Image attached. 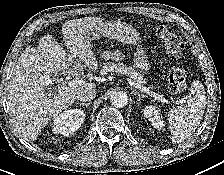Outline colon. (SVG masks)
<instances>
[{
  "mask_svg": "<svg viewBox=\"0 0 224 175\" xmlns=\"http://www.w3.org/2000/svg\"><path fill=\"white\" fill-rule=\"evenodd\" d=\"M157 37L164 41L166 52L176 64L184 57V44L179 36L168 27L160 25L155 30ZM186 88V73L183 68L174 65L168 72V89L171 94H178Z\"/></svg>",
  "mask_w": 224,
  "mask_h": 175,
  "instance_id": "5ec220e1",
  "label": "colon"
}]
</instances>
